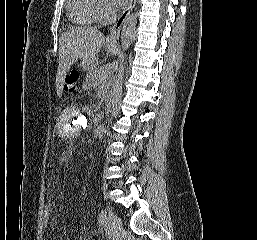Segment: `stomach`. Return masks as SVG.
I'll use <instances>...</instances> for the list:
<instances>
[{
	"instance_id": "obj_1",
	"label": "stomach",
	"mask_w": 257,
	"mask_h": 240,
	"mask_svg": "<svg viewBox=\"0 0 257 240\" xmlns=\"http://www.w3.org/2000/svg\"><path fill=\"white\" fill-rule=\"evenodd\" d=\"M107 51L108 53L110 54H113L115 53L116 51V45H110V44H107ZM94 66V61H90V60H82L81 62V67L83 68V70L85 71H89L93 68Z\"/></svg>"
}]
</instances>
